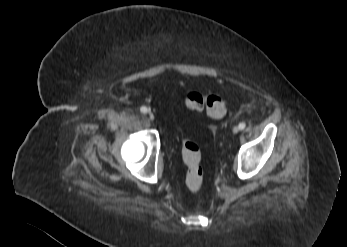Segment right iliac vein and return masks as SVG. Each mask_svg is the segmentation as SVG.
<instances>
[{"label": "right iliac vein", "mask_w": 347, "mask_h": 247, "mask_svg": "<svg viewBox=\"0 0 347 247\" xmlns=\"http://www.w3.org/2000/svg\"><path fill=\"white\" fill-rule=\"evenodd\" d=\"M148 118H149V120H154V115L151 113V112H149L148 113Z\"/></svg>", "instance_id": "right-iliac-vein-1"}]
</instances>
